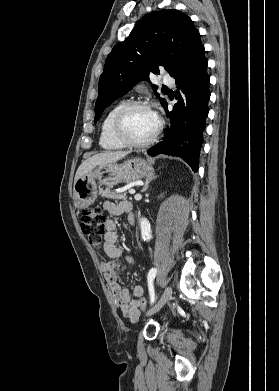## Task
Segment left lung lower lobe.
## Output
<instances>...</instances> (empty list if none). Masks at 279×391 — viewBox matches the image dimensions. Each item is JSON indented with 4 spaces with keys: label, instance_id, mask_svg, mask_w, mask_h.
Returning <instances> with one entry per match:
<instances>
[{
    "label": "left lung lower lobe",
    "instance_id": "left-lung-lower-lobe-1",
    "mask_svg": "<svg viewBox=\"0 0 279 391\" xmlns=\"http://www.w3.org/2000/svg\"><path fill=\"white\" fill-rule=\"evenodd\" d=\"M207 63L203 46L198 50L189 67L175 78L178 87L175 98L178 102L173 106L172 111H168V103L163 106L171 120V127L166 130L162 142L148 150V154L152 156L158 154L179 156L194 171L198 170L203 132L209 112Z\"/></svg>",
    "mask_w": 279,
    "mask_h": 391
}]
</instances>
